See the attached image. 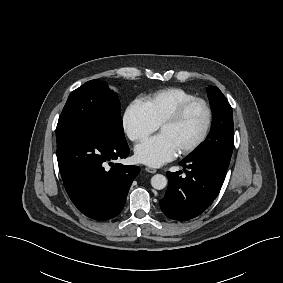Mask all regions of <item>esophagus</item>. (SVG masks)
Masks as SVG:
<instances>
[{"instance_id": "esophagus-1", "label": "esophagus", "mask_w": 283, "mask_h": 283, "mask_svg": "<svg viewBox=\"0 0 283 283\" xmlns=\"http://www.w3.org/2000/svg\"><path fill=\"white\" fill-rule=\"evenodd\" d=\"M145 170H146L148 173H152V174H154V173H156V172H157V170H156V169L151 168V167H146V168H145Z\"/></svg>"}]
</instances>
